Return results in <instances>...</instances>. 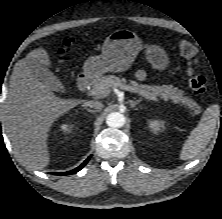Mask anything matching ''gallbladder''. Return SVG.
<instances>
[{
	"mask_svg": "<svg viewBox=\"0 0 222 219\" xmlns=\"http://www.w3.org/2000/svg\"><path fill=\"white\" fill-rule=\"evenodd\" d=\"M33 72L37 78L42 83L49 86L51 90L56 92L66 91L62 82L44 65L36 64V66L33 68Z\"/></svg>",
	"mask_w": 222,
	"mask_h": 219,
	"instance_id": "bac80fb5",
	"label": "gallbladder"
}]
</instances>
